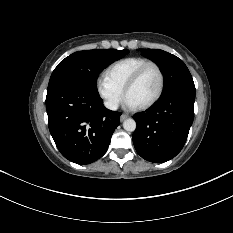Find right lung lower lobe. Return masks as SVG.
Returning <instances> with one entry per match:
<instances>
[{
  "label": "right lung lower lobe",
  "instance_id": "obj_1",
  "mask_svg": "<svg viewBox=\"0 0 233 233\" xmlns=\"http://www.w3.org/2000/svg\"><path fill=\"white\" fill-rule=\"evenodd\" d=\"M46 110L57 148L66 159L80 165L105 154L120 124L121 113L105 108L98 93L72 85L48 88Z\"/></svg>",
  "mask_w": 233,
  "mask_h": 233
}]
</instances>
